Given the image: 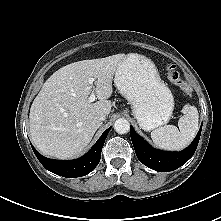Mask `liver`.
<instances>
[{
    "instance_id": "obj_1",
    "label": "liver",
    "mask_w": 221,
    "mask_h": 221,
    "mask_svg": "<svg viewBox=\"0 0 221 221\" xmlns=\"http://www.w3.org/2000/svg\"><path fill=\"white\" fill-rule=\"evenodd\" d=\"M124 54L83 60L63 66L43 84L29 114L30 135L44 155L69 159L78 156L102 125L99 115L108 116L112 103L114 74ZM95 79V86L88 83ZM97 102H88L93 92Z\"/></svg>"
}]
</instances>
